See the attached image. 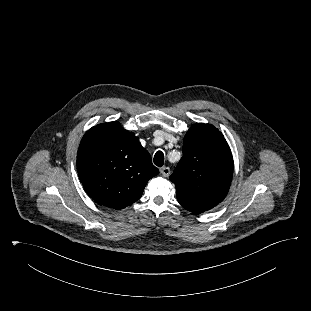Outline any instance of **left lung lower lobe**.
Here are the masks:
<instances>
[{
  "label": "left lung lower lobe",
  "instance_id": "left-lung-lower-lobe-1",
  "mask_svg": "<svg viewBox=\"0 0 311 311\" xmlns=\"http://www.w3.org/2000/svg\"><path fill=\"white\" fill-rule=\"evenodd\" d=\"M177 199L179 203L186 209L189 210L193 213H202L205 212L209 209H212L215 207V205L209 204V203H204V202H198L191 200L181 194L176 193Z\"/></svg>",
  "mask_w": 311,
  "mask_h": 311
}]
</instances>
